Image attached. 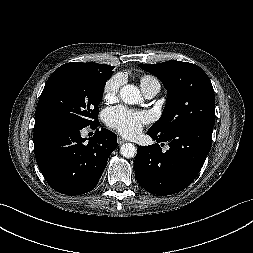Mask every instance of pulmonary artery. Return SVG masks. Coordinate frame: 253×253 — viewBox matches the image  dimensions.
Listing matches in <instances>:
<instances>
[{"label": "pulmonary artery", "mask_w": 253, "mask_h": 253, "mask_svg": "<svg viewBox=\"0 0 253 253\" xmlns=\"http://www.w3.org/2000/svg\"><path fill=\"white\" fill-rule=\"evenodd\" d=\"M159 88L160 86H152L143 90V93L147 98H152L158 93Z\"/></svg>", "instance_id": "obj_1"}]
</instances>
